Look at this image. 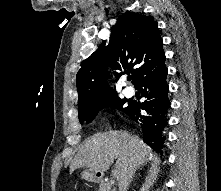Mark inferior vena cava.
Instances as JSON below:
<instances>
[{"label":"inferior vena cava","mask_w":221,"mask_h":191,"mask_svg":"<svg viewBox=\"0 0 221 191\" xmlns=\"http://www.w3.org/2000/svg\"><path fill=\"white\" fill-rule=\"evenodd\" d=\"M135 171H136V167L134 166V167L130 170L129 175L123 180L122 184L120 185V187H119V190H120V191H127L128 186H129V184H130V182H131V179H132V177H133Z\"/></svg>","instance_id":"1"}]
</instances>
